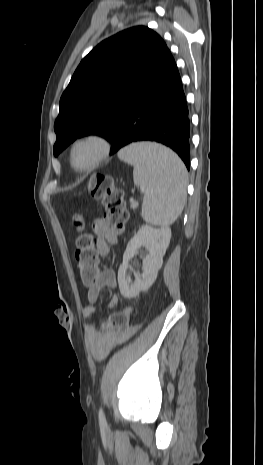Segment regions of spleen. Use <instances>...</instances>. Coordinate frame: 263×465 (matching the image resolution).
<instances>
[{
	"label": "spleen",
	"instance_id": "obj_1",
	"mask_svg": "<svg viewBox=\"0 0 263 465\" xmlns=\"http://www.w3.org/2000/svg\"><path fill=\"white\" fill-rule=\"evenodd\" d=\"M118 156L133 165L134 184L145 190L142 218L147 223L167 227L182 213L187 186V170L171 150L154 143H135Z\"/></svg>",
	"mask_w": 263,
	"mask_h": 465
}]
</instances>
